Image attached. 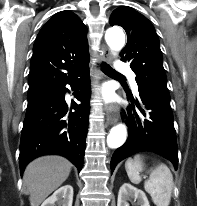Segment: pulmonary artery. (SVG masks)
Instances as JSON below:
<instances>
[{"label":"pulmonary artery","instance_id":"1","mask_svg":"<svg viewBox=\"0 0 197 206\" xmlns=\"http://www.w3.org/2000/svg\"><path fill=\"white\" fill-rule=\"evenodd\" d=\"M116 68L118 71L120 72H126L130 75V78H131V82H132V85L135 89H137V83L135 81V76H134V73H132L129 68H128V65L124 62H118L117 65H116Z\"/></svg>","mask_w":197,"mask_h":206}]
</instances>
